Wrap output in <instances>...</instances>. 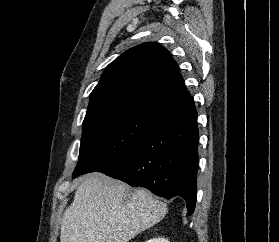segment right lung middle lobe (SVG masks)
Returning <instances> with one entry per match:
<instances>
[{
	"label": "right lung middle lobe",
	"instance_id": "right-lung-middle-lobe-1",
	"mask_svg": "<svg viewBox=\"0 0 279 242\" xmlns=\"http://www.w3.org/2000/svg\"><path fill=\"white\" fill-rule=\"evenodd\" d=\"M158 122L159 114L135 110L85 116L79 160L72 177L100 171L147 138Z\"/></svg>",
	"mask_w": 279,
	"mask_h": 242
}]
</instances>
